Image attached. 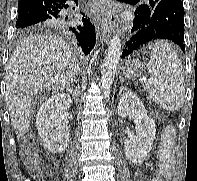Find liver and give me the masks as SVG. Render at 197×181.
I'll list each match as a JSON object with an SVG mask.
<instances>
[{
  "label": "liver",
  "mask_w": 197,
  "mask_h": 181,
  "mask_svg": "<svg viewBox=\"0 0 197 181\" xmlns=\"http://www.w3.org/2000/svg\"><path fill=\"white\" fill-rule=\"evenodd\" d=\"M70 46L51 34H35L18 43L6 70V102L18 137L29 131L31 101L42 89L62 91L78 74Z\"/></svg>",
  "instance_id": "obj_1"
}]
</instances>
